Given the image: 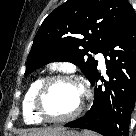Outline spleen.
Returning a JSON list of instances; mask_svg holds the SVG:
<instances>
[{
    "instance_id": "1",
    "label": "spleen",
    "mask_w": 136,
    "mask_h": 136,
    "mask_svg": "<svg viewBox=\"0 0 136 136\" xmlns=\"http://www.w3.org/2000/svg\"><path fill=\"white\" fill-rule=\"evenodd\" d=\"M81 136H97V135L92 132L84 131Z\"/></svg>"
}]
</instances>
